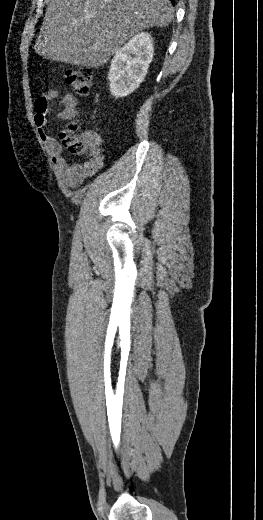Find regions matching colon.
Masks as SVG:
<instances>
[{
    "mask_svg": "<svg viewBox=\"0 0 263 520\" xmlns=\"http://www.w3.org/2000/svg\"><path fill=\"white\" fill-rule=\"evenodd\" d=\"M64 77L66 83L76 94L80 96L89 94L93 85V73L89 68L68 69L65 71ZM77 129V122H71L68 128L60 134L62 146L71 154L94 155L96 153L94 146L84 136L77 135Z\"/></svg>",
    "mask_w": 263,
    "mask_h": 520,
    "instance_id": "colon-1",
    "label": "colon"
}]
</instances>
